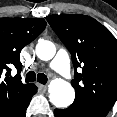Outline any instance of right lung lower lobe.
I'll return each mask as SVG.
<instances>
[{
    "mask_svg": "<svg viewBox=\"0 0 117 117\" xmlns=\"http://www.w3.org/2000/svg\"><path fill=\"white\" fill-rule=\"evenodd\" d=\"M37 92V87L33 84L31 91L19 102L11 111L4 114L2 117H25L26 109L32 96Z\"/></svg>",
    "mask_w": 117,
    "mask_h": 117,
    "instance_id": "obj_1",
    "label": "right lung lower lobe"
}]
</instances>
